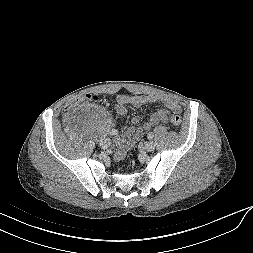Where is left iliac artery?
<instances>
[{
    "instance_id": "left-iliac-artery-1",
    "label": "left iliac artery",
    "mask_w": 253,
    "mask_h": 253,
    "mask_svg": "<svg viewBox=\"0 0 253 253\" xmlns=\"http://www.w3.org/2000/svg\"><path fill=\"white\" fill-rule=\"evenodd\" d=\"M148 139H153L154 137V134L152 132H149L148 135H147Z\"/></svg>"
}]
</instances>
